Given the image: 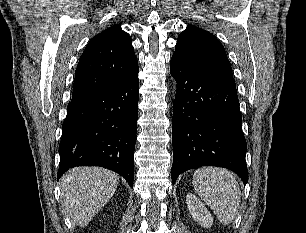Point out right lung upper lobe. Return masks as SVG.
I'll return each mask as SVG.
<instances>
[{"mask_svg":"<svg viewBox=\"0 0 306 233\" xmlns=\"http://www.w3.org/2000/svg\"><path fill=\"white\" fill-rule=\"evenodd\" d=\"M138 68L132 41L120 25L94 36L86 46L75 72L72 100L106 91Z\"/></svg>","mask_w":306,"mask_h":233,"instance_id":"cb5924a9","label":"right lung upper lobe"}]
</instances>
